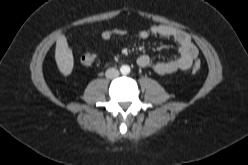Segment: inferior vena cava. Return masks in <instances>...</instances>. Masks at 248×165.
Listing matches in <instances>:
<instances>
[{
    "label": "inferior vena cava",
    "instance_id": "inferior-vena-cava-1",
    "mask_svg": "<svg viewBox=\"0 0 248 165\" xmlns=\"http://www.w3.org/2000/svg\"><path fill=\"white\" fill-rule=\"evenodd\" d=\"M105 76L108 79H115L119 76V71L116 68H109L106 70Z\"/></svg>",
    "mask_w": 248,
    "mask_h": 165
}]
</instances>
